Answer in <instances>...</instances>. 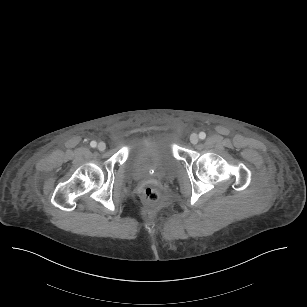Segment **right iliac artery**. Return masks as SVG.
I'll list each match as a JSON object with an SVG mask.
<instances>
[{"label":"right iliac artery","mask_w":307,"mask_h":307,"mask_svg":"<svg viewBox=\"0 0 307 307\" xmlns=\"http://www.w3.org/2000/svg\"><path fill=\"white\" fill-rule=\"evenodd\" d=\"M90 146L95 148L97 146V143L95 141H91Z\"/></svg>","instance_id":"obj_1"}]
</instances>
